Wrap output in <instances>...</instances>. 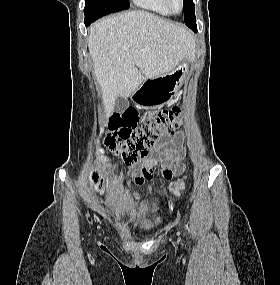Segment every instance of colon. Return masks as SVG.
Instances as JSON below:
<instances>
[{"mask_svg":"<svg viewBox=\"0 0 280 285\" xmlns=\"http://www.w3.org/2000/svg\"><path fill=\"white\" fill-rule=\"evenodd\" d=\"M139 114L134 108H128L121 114H114L109 122V134L105 139L110 149L120 148L126 163H135L147 154V150L166 135L174 134L182 125V108L174 106L164 109L138 126ZM98 192H102L104 179L99 174L92 177ZM184 178L169 185L172 195H179L184 189Z\"/></svg>","mask_w":280,"mask_h":285,"instance_id":"obj_1","label":"colon"}]
</instances>
